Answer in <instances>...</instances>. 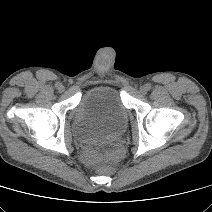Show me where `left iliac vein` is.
I'll list each match as a JSON object with an SVG mask.
<instances>
[{
	"mask_svg": "<svg viewBox=\"0 0 212 212\" xmlns=\"http://www.w3.org/2000/svg\"><path fill=\"white\" fill-rule=\"evenodd\" d=\"M147 91H148V89H147L146 86H141V87H140V92H141L142 94H146Z\"/></svg>",
	"mask_w": 212,
	"mask_h": 212,
	"instance_id": "1",
	"label": "left iliac vein"
}]
</instances>
